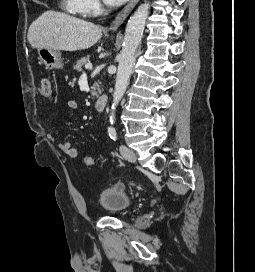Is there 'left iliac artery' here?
Segmentation results:
<instances>
[{
  "label": "left iliac artery",
  "mask_w": 255,
  "mask_h": 272,
  "mask_svg": "<svg viewBox=\"0 0 255 272\" xmlns=\"http://www.w3.org/2000/svg\"><path fill=\"white\" fill-rule=\"evenodd\" d=\"M108 133H109V136H110L111 139L117 140V133H116L115 128L109 127L108 128Z\"/></svg>",
  "instance_id": "1"
}]
</instances>
